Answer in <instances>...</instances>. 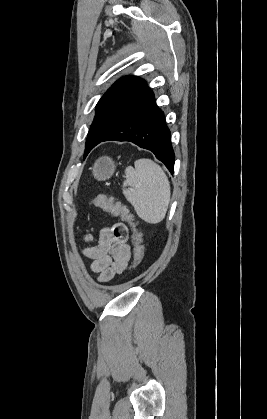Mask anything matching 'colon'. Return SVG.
Listing matches in <instances>:
<instances>
[{
    "mask_svg": "<svg viewBox=\"0 0 267 419\" xmlns=\"http://www.w3.org/2000/svg\"><path fill=\"white\" fill-rule=\"evenodd\" d=\"M91 203L96 207L110 213L114 216H118L122 221L126 222L132 229V244L134 250L133 268L137 267L143 260L144 257V245L142 242V235L139 232L133 216L129 213L128 209L113 198L105 195H97Z\"/></svg>",
    "mask_w": 267,
    "mask_h": 419,
    "instance_id": "1",
    "label": "colon"
}]
</instances>
